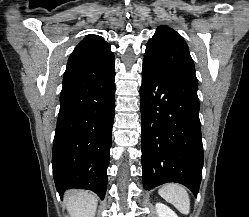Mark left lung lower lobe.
I'll return each mask as SVG.
<instances>
[{
	"label": "left lung lower lobe",
	"instance_id": "1",
	"mask_svg": "<svg viewBox=\"0 0 249 217\" xmlns=\"http://www.w3.org/2000/svg\"><path fill=\"white\" fill-rule=\"evenodd\" d=\"M198 85L142 69V172L145 189L181 183L197 196L203 146Z\"/></svg>",
	"mask_w": 249,
	"mask_h": 217
}]
</instances>
